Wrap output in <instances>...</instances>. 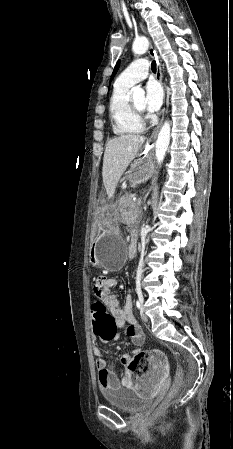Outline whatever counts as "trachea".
<instances>
[{
    "label": "trachea",
    "instance_id": "1",
    "mask_svg": "<svg viewBox=\"0 0 233 449\" xmlns=\"http://www.w3.org/2000/svg\"><path fill=\"white\" fill-rule=\"evenodd\" d=\"M151 69H152V71H153L154 73H156V62H155V61H153V62L151 63Z\"/></svg>",
    "mask_w": 233,
    "mask_h": 449
}]
</instances>
